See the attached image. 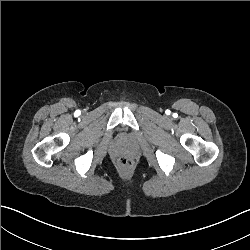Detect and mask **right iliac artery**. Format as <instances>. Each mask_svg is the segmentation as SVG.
<instances>
[{
	"instance_id": "obj_1",
	"label": "right iliac artery",
	"mask_w": 250,
	"mask_h": 250,
	"mask_svg": "<svg viewBox=\"0 0 250 250\" xmlns=\"http://www.w3.org/2000/svg\"><path fill=\"white\" fill-rule=\"evenodd\" d=\"M80 114H81V111H80V110H76V111H75V115H76V116H79Z\"/></svg>"
}]
</instances>
